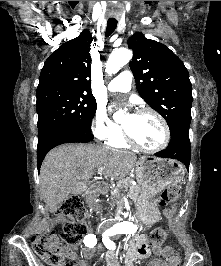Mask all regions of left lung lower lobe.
<instances>
[{
	"label": "left lung lower lobe",
	"instance_id": "1",
	"mask_svg": "<svg viewBox=\"0 0 221 266\" xmlns=\"http://www.w3.org/2000/svg\"><path fill=\"white\" fill-rule=\"evenodd\" d=\"M155 155L161 158L178 160L189 169L191 149L188 131L173 134L167 148Z\"/></svg>",
	"mask_w": 221,
	"mask_h": 266
}]
</instances>
